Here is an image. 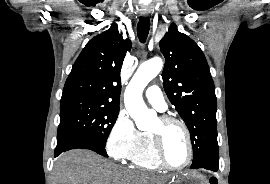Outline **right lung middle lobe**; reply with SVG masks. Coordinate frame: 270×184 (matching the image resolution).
Instances as JSON below:
<instances>
[{
    "mask_svg": "<svg viewBox=\"0 0 270 184\" xmlns=\"http://www.w3.org/2000/svg\"><path fill=\"white\" fill-rule=\"evenodd\" d=\"M118 114L119 107L88 99L61 100L57 141L72 137L85 138L105 148Z\"/></svg>",
    "mask_w": 270,
    "mask_h": 184,
    "instance_id": "1",
    "label": "right lung middle lobe"
}]
</instances>
